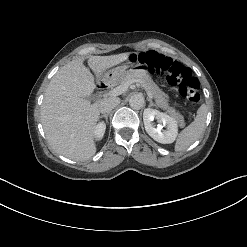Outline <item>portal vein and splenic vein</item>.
I'll return each mask as SVG.
<instances>
[{
	"label": "portal vein and splenic vein",
	"mask_w": 247,
	"mask_h": 247,
	"mask_svg": "<svg viewBox=\"0 0 247 247\" xmlns=\"http://www.w3.org/2000/svg\"><path fill=\"white\" fill-rule=\"evenodd\" d=\"M132 83H134V81H128V82H126V83H124V84H122V85L114 88L113 90L109 91L107 93V95H109V96H118V95H121V94H123V93L126 92V90L128 89V87ZM144 89L146 90L147 95L149 96V98L152 99L153 97H152L151 93L145 87H144Z\"/></svg>",
	"instance_id": "1"
}]
</instances>
